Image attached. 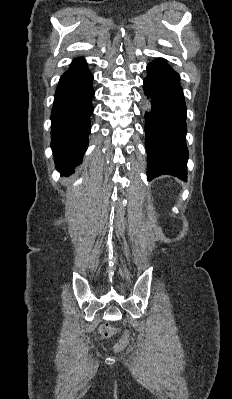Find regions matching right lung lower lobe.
Here are the masks:
<instances>
[{
    "label": "right lung lower lobe",
    "mask_w": 232,
    "mask_h": 399,
    "mask_svg": "<svg viewBox=\"0 0 232 399\" xmlns=\"http://www.w3.org/2000/svg\"><path fill=\"white\" fill-rule=\"evenodd\" d=\"M93 75L83 58L74 59L60 78L51 113V147L56 169L72 172L83 158L91 130Z\"/></svg>",
    "instance_id": "right-lung-lower-lobe-1"
}]
</instances>
